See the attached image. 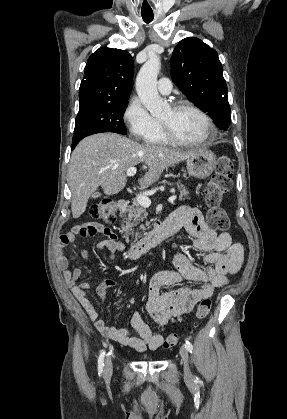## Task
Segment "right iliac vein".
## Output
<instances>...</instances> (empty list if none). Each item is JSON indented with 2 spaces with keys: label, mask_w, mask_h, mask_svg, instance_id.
<instances>
[{
  "label": "right iliac vein",
  "mask_w": 287,
  "mask_h": 419,
  "mask_svg": "<svg viewBox=\"0 0 287 419\" xmlns=\"http://www.w3.org/2000/svg\"><path fill=\"white\" fill-rule=\"evenodd\" d=\"M112 360L110 357L106 359L105 362V369H104V376L109 377L112 374Z\"/></svg>",
  "instance_id": "63e3f726"
}]
</instances>
